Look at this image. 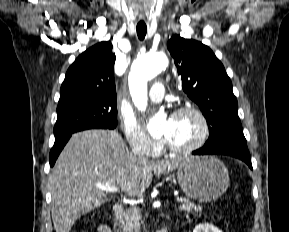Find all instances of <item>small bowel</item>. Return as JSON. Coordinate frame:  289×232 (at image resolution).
I'll list each match as a JSON object with an SVG mask.
<instances>
[{
  "mask_svg": "<svg viewBox=\"0 0 289 232\" xmlns=\"http://www.w3.org/2000/svg\"><path fill=\"white\" fill-rule=\"evenodd\" d=\"M98 232H111L110 228L106 225H100L98 227Z\"/></svg>",
  "mask_w": 289,
  "mask_h": 232,
  "instance_id": "obj_1",
  "label": "small bowel"
}]
</instances>
